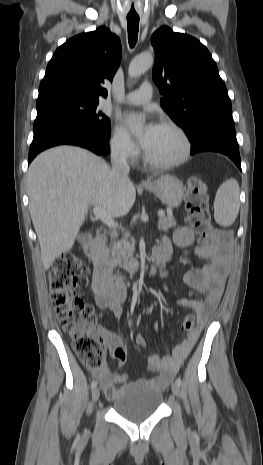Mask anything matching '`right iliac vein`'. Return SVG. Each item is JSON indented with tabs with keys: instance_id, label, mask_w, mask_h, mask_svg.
<instances>
[{
	"instance_id": "obj_1",
	"label": "right iliac vein",
	"mask_w": 263,
	"mask_h": 465,
	"mask_svg": "<svg viewBox=\"0 0 263 465\" xmlns=\"http://www.w3.org/2000/svg\"><path fill=\"white\" fill-rule=\"evenodd\" d=\"M100 397V390L98 388H95L92 392V399L94 402H97Z\"/></svg>"
}]
</instances>
